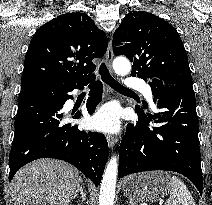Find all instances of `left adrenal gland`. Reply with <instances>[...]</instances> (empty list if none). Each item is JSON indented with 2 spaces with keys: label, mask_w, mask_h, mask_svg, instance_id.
Here are the masks:
<instances>
[{
  "label": "left adrenal gland",
  "mask_w": 212,
  "mask_h": 205,
  "mask_svg": "<svg viewBox=\"0 0 212 205\" xmlns=\"http://www.w3.org/2000/svg\"><path fill=\"white\" fill-rule=\"evenodd\" d=\"M130 204H131V205H134V203H133V202H130Z\"/></svg>",
  "instance_id": "a2214340"
}]
</instances>
